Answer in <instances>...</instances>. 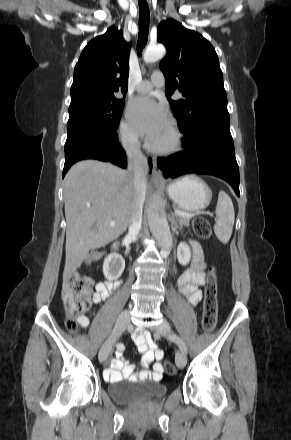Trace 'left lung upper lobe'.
<instances>
[{"label": "left lung upper lobe", "instance_id": "left-lung-upper-lobe-1", "mask_svg": "<svg viewBox=\"0 0 291 440\" xmlns=\"http://www.w3.org/2000/svg\"><path fill=\"white\" fill-rule=\"evenodd\" d=\"M157 41L167 49L160 68L180 131L187 135L206 122L229 119L223 74L213 46L201 34L173 19L158 25ZM175 91H180L183 98L171 100Z\"/></svg>", "mask_w": 291, "mask_h": 440}]
</instances>
